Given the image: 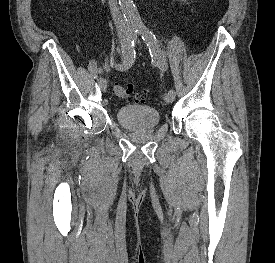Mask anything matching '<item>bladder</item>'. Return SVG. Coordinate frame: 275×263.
<instances>
[{"instance_id": "obj_1", "label": "bladder", "mask_w": 275, "mask_h": 263, "mask_svg": "<svg viewBox=\"0 0 275 263\" xmlns=\"http://www.w3.org/2000/svg\"><path fill=\"white\" fill-rule=\"evenodd\" d=\"M116 119L124 128L131 131H139L158 126L160 114L156 109L149 106H123L117 109Z\"/></svg>"}]
</instances>
